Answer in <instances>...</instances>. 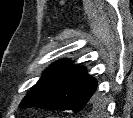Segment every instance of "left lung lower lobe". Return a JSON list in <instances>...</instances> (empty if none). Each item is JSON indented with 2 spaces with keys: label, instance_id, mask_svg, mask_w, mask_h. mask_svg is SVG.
<instances>
[{
  "label": "left lung lower lobe",
  "instance_id": "1",
  "mask_svg": "<svg viewBox=\"0 0 133 118\" xmlns=\"http://www.w3.org/2000/svg\"><path fill=\"white\" fill-rule=\"evenodd\" d=\"M95 91H96V89H95ZM95 91L93 92V94H92V96H91V98H90V100H89V102H88V106H92L94 103H95V96H94V93H95Z\"/></svg>",
  "mask_w": 133,
  "mask_h": 118
}]
</instances>
